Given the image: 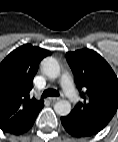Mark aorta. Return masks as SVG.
Instances as JSON below:
<instances>
[{
  "mask_svg": "<svg viewBox=\"0 0 118 142\" xmlns=\"http://www.w3.org/2000/svg\"><path fill=\"white\" fill-rule=\"evenodd\" d=\"M41 70L44 75L55 79L60 75V66L54 58H46L41 63ZM55 112L60 116H67L71 112V104L67 100H60L54 105Z\"/></svg>",
  "mask_w": 118,
  "mask_h": 142,
  "instance_id": "1",
  "label": "aorta"
}]
</instances>
